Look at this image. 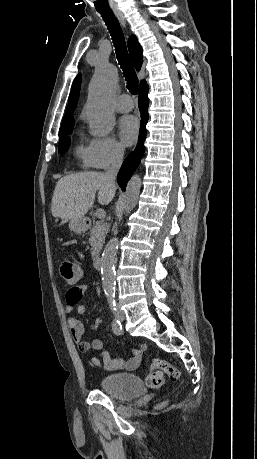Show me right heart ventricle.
I'll return each instance as SVG.
<instances>
[{
  "label": "right heart ventricle",
  "instance_id": "1",
  "mask_svg": "<svg viewBox=\"0 0 257 459\" xmlns=\"http://www.w3.org/2000/svg\"><path fill=\"white\" fill-rule=\"evenodd\" d=\"M76 156L81 160L84 167H92V163L89 157L88 146L79 144L76 148Z\"/></svg>",
  "mask_w": 257,
  "mask_h": 459
}]
</instances>
